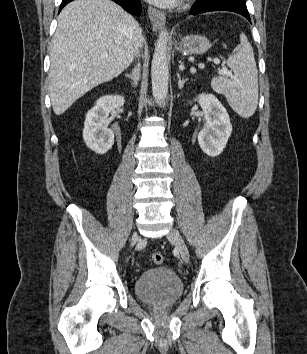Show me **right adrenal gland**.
I'll list each match as a JSON object with an SVG mask.
<instances>
[{
  "label": "right adrenal gland",
  "mask_w": 307,
  "mask_h": 354,
  "mask_svg": "<svg viewBox=\"0 0 307 354\" xmlns=\"http://www.w3.org/2000/svg\"><path fill=\"white\" fill-rule=\"evenodd\" d=\"M140 76H141V65L139 62L132 70V73L125 74V77L131 80V84L133 87H136L138 85V82L140 80Z\"/></svg>",
  "instance_id": "1"
}]
</instances>
